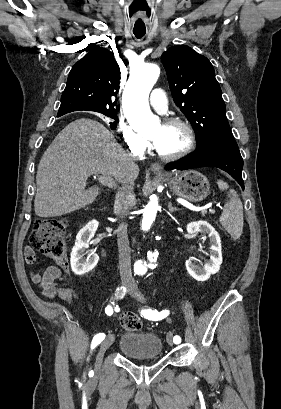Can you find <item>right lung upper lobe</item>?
<instances>
[{
	"instance_id": "1",
	"label": "right lung upper lobe",
	"mask_w": 281,
	"mask_h": 409,
	"mask_svg": "<svg viewBox=\"0 0 281 409\" xmlns=\"http://www.w3.org/2000/svg\"><path fill=\"white\" fill-rule=\"evenodd\" d=\"M119 79L120 69L113 53L94 47L72 67L57 117L73 111H116L113 96Z\"/></svg>"
}]
</instances>
